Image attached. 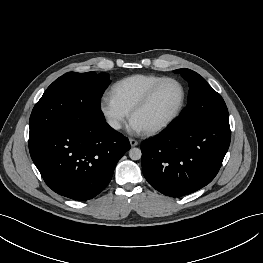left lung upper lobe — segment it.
I'll list each match as a JSON object with an SVG mask.
<instances>
[{"mask_svg": "<svg viewBox=\"0 0 263 263\" xmlns=\"http://www.w3.org/2000/svg\"><path fill=\"white\" fill-rule=\"evenodd\" d=\"M175 72L181 73L190 85L188 105L172 123L176 129L189 131L211 120L229 118L223 98L202 76L190 69H177Z\"/></svg>", "mask_w": 263, "mask_h": 263, "instance_id": "obj_1", "label": "left lung upper lobe"}]
</instances>
